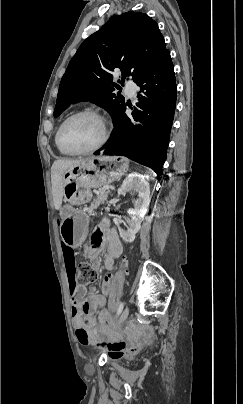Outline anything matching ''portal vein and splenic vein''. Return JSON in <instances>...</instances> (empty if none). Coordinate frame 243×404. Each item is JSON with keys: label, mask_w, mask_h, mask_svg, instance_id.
Returning <instances> with one entry per match:
<instances>
[{"label": "portal vein and splenic vein", "mask_w": 243, "mask_h": 404, "mask_svg": "<svg viewBox=\"0 0 243 404\" xmlns=\"http://www.w3.org/2000/svg\"><path fill=\"white\" fill-rule=\"evenodd\" d=\"M110 186H104L103 190H109Z\"/></svg>", "instance_id": "portal-vein-and-splenic-vein-1"}]
</instances>
